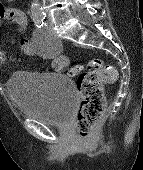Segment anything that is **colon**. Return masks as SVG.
I'll use <instances>...</instances> for the list:
<instances>
[{
  "label": "colon",
  "instance_id": "1",
  "mask_svg": "<svg viewBox=\"0 0 143 170\" xmlns=\"http://www.w3.org/2000/svg\"><path fill=\"white\" fill-rule=\"evenodd\" d=\"M65 70L67 61L65 57L59 58ZM69 74L77 77V87L81 96V104L77 115V131L82 140H87L94 127L101 121L106 101L103 93L105 83H113L118 78L117 70L105 65L99 59H91L86 66L74 65Z\"/></svg>",
  "mask_w": 143,
  "mask_h": 170
}]
</instances>
